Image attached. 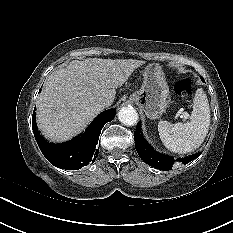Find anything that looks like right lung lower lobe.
Here are the masks:
<instances>
[{
	"label": "right lung lower lobe",
	"mask_w": 233,
	"mask_h": 233,
	"mask_svg": "<svg viewBox=\"0 0 233 233\" xmlns=\"http://www.w3.org/2000/svg\"><path fill=\"white\" fill-rule=\"evenodd\" d=\"M114 116V109L100 113L84 133L62 144H51L40 135L35 122V110L32 117V129L41 152L52 165L66 170H78L95 161L99 153L96 145L102 127L113 120Z\"/></svg>",
	"instance_id": "right-lung-lower-lobe-1"
}]
</instances>
